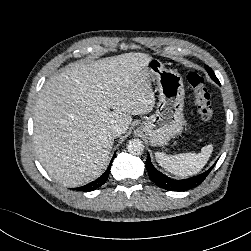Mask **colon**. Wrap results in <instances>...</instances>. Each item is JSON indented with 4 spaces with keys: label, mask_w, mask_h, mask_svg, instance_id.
Returning a JSON list of instances; mask_svg holds the SVG:
<instances>
[{
    "label": "colon",
    "mask_w": 251,
    "mask_h": 251,
    "mask_svg": "<svg viewBox=\"0 0 251 251\" xmlns=\"http://www.w3.org/2000/svg\"><path fill=\"white\" fill-rule=\"evenodd\" d=\"M187 79L194 93L199 116L204 121H211L214 116V109L211 105L210 95L205 87L203 76L196 71H190Z\"/></svg>",
    "instance_id": "1"
}]
</instances>
